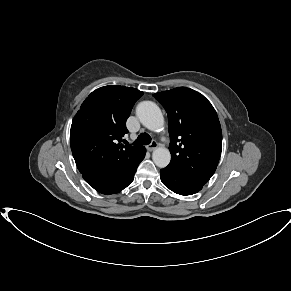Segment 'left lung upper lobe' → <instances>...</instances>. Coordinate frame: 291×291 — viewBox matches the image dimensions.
I'll return each instance as SVG.
<instances>
[{
    "label": "left lung upper lobe",
    "mask_w": 291,
    "mask_h": 291,
    "mask_svg": "<svg viewBox=\"0 0 291 291\" xmlns=\"http://www.w3.org/2000/svg\"><path fill=\"white\" fill-rule=\"evenodd\" d=\"M153 96L168 115L171 161L167 167L206 184L222 150V131L215 109L202 94L186 87Z\"/></svg>",
    "instance_id": "obj_1"
}]
</instances>
